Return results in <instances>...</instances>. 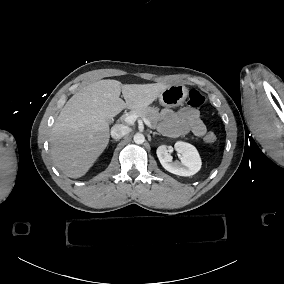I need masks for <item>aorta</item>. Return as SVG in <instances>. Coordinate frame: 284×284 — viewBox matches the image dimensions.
<instances>
[{
  "label": "aorta",
  "mask_w": 284,
  "mask_h": 284,
  "mask_svg": "<svg viewBox=\"0 0 284 284\" xmlns=\"http://www.w3.org/2000/svg\"><path fill=\"white\" fill-rule=\"evenodd\" d=\"M133 140L136 144H142L145 141V137L141 133H136L133 137Z\"/></svg>",
  "instance_id": "aorta-1"
}]
</instances>
